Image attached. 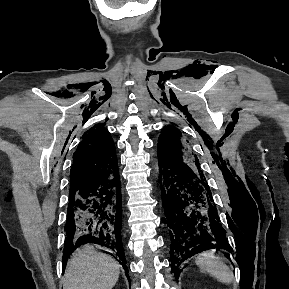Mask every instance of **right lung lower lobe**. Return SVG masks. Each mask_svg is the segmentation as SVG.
Instances as JSON below:
<instances>
[{"label":"right lung lower lobe","instance_id":"right-lung-lower-lobe-1","mask_svg":"<svg viewBox=\"0 0 289 289\" xmlns=\"http://www.w3.org/2000/svg\"><path fill=\"white\" fill-rule=\"evenodd\" d=\"M121 203L118 172L70 191L62 257L64 268L68 257L78 246L97 244L116 257L130 281L122 244Z\"/></svg>","mask_w":289,"mask_h":289}]
</instances>
